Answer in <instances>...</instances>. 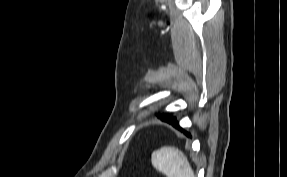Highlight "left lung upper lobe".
Segmentation results:
<instances>
[{
  "label": "left lung upper lobe",
  "mask_w": 287,
  "mask_h": 177,
  "mask_svg": "<svg viewBox=\"0 0 287 177\" xmlns=\"http://www.w3.org/2000/svg\"><path fill=\"white\" fill-rule=\"evenodd\" d=\"M164 116H166V115L165 114H162V115L159 114L158 115L159 118L164 117Z\"/></svg>",
  "instance_id": "left-lung-upper-lobe-1"
}]
</instances>
